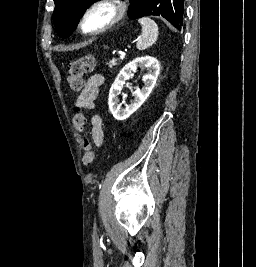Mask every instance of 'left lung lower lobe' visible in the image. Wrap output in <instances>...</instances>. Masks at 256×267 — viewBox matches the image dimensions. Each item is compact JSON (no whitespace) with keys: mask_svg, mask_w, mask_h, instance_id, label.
<instances>
[{"mask_svg":"<svg viewBox=\"0 0 256 267\" xmlns=\"http://www.w3.org/2000/svg\"><path fill=\"white\" fill-rule=\"evenodd\" d=\"M184 17V0H175V27L181 30Z\"/></svg>","mask_w":256,"mask_h":267,"instance_id":"0a47b994","label":"left lung lower lobe"}]
</instances>
